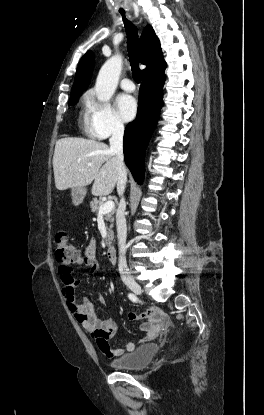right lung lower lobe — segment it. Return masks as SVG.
Here are the masks:
<instances>
[{
	"instance_id": "obj_1",
	"label": "right lung lower lobe",
	"mask_w": 264,
	"mask_h": 415,
	"mask_svg": "<svg viewBox=\"0 0 264 415\" xmlns=\"http://www.w3.org/2000/svg\"><path fill=\"white\" fill-rule=\"evenodd\" d=\"M164 73L142 77L137 117L125 129L123 149L125 163L139 184L143 181L144 153L162 103Z\"/></svg>"
}]
</instances>
